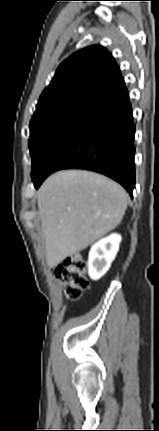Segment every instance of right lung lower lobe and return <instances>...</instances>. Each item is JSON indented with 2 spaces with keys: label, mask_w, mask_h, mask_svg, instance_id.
Wrapping results in <instances>:
<instances>
[{
  "label": "right lung lower lobe",
  "mask_w": 159,
  "mask_h": 431,
  "mask_svg": "<svg viewBox=\"0 0 159 431\" xmlns=\"http://www.w3.org/2000/svg\"><path fill=\"white\" fill-rule=\"evenodd\" d=\"M134 135L129 99L83 121L68 132L50 151L38 177V188L52 172L85 169L119 182L132 196L135 186Z\"/></svg>",
  "instance_id": "98d812e1"
}]
</instances>
